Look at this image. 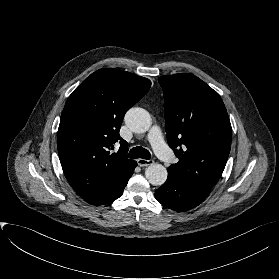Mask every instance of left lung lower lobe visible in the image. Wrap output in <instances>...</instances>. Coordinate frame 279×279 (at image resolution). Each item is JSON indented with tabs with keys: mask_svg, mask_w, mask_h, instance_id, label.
I'll list each match as a JSON object with an SVG mask.
<instances>
[{
	"mask_svg": "<svg viewBox=\"0 0 279 279\" xmlns=\"http://www.w3.org/2000/svg\"><path fill=\"white\" fill-rule=\"evenodd\" d=\"M210 190L180 179L168 171L166 182L155 191L156 199L165 207L175 211H188L201 204Z\"/></svg>",
	"mask_w": 279,
	"mask_h": 279,
	"instance_id": "obj_1",
	"label": "left lung lower lobe"
}]
</instances>
